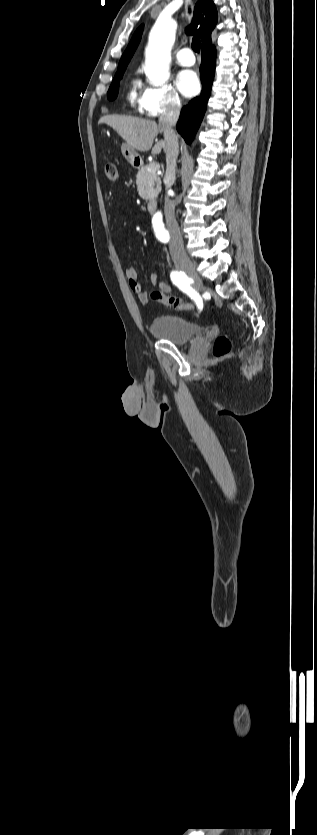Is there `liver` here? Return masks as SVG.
Instances as JSON below:
<instances>
[{"instance_id":"obj_1","label":"liver","mask_w":317,"mask_h":835,"mask_svg":"<svg viewBox=\"0 0 317 835\" xmlns=\"http://www.w3.org/2000/svg\"><path fill=\"white\" fill-rule=\"evenodd\" d=\"M102 123L113 128L127 144L140 152L149 151L155 137L163 132L161 126L155 121L128 116L104 115L98 121V124ZM165 148L166 142L161 140L154 145L151 153L160 154L162 149L165 152Z\"/></svg>"}]
</instances>
